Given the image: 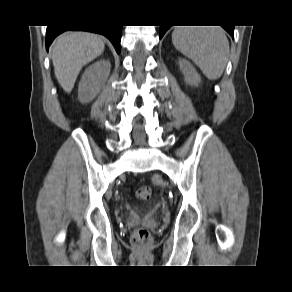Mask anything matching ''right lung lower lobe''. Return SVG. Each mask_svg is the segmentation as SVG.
Masks as SVG:
<instances>
[{"instance_id":"1","label":"right lung lower lobe","mask_w":292,"mask_h":292,"mask_svg":"<svg viewBox=\"0 0 292 292\" xmlns=\"http://www.w3.org/2000/svg\"><path fill=\"white\" fill-rule=\"evenodd\" d=\"M66 30H83L102 34L112 42L117 53H120L122 26H110L104 24L83 26H47L46 48L48 49V47L57 35Z\"/></svg>"}]
</instances>
